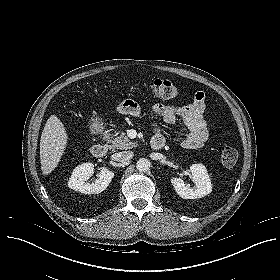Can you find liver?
<instances>
[{"instance_id":"obj_1","label":"liver","mask_w":280,"mask_h":280,"mask_svg":"<svg viewBox=\"0 0 280 280\" xmlns=\"http://www.w3.org/2000/svg\"><path fill=\"white\" fill-rule=\"evenodd\" d=\"M67 133L56 115H51L42 131L40 163L43 175L50 174L57 166L67 144Z\"/></svg>"}]
</instances>
